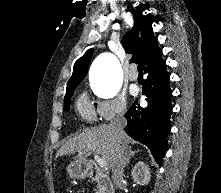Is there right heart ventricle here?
Returning a JSON list of instances; mask_svg holds the SVG:
<instances>
[{"label":"right heart ventricle","mask_w":221,"mask_h":193,"mask_svg":"<svg viewBox=\"0 0 221 193\" xmlns=\"http://www.w3.org/2000/svg\"><path fill=\"white\" fill-rule=\"evenodd\" d=\"M76 107L78 114L84 121L93 122L95 120V108L87 101V99L84 96H81L77 100Z\"/></svg>","instance_id":"obj_1"}]
</instances>
